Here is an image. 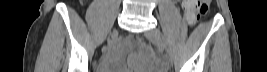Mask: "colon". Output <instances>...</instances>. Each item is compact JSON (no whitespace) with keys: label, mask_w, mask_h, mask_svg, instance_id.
<instances>
[{"label":"colon","mask_w":267,"mask_h":72,"mask_svg":"<svg viewBox=\"0 0 267 72\" xmlns=\"http://www.w3.org/2000/svg\"><path fill=\"white\" fill-rule=\"evenodd\" d=\"M211 0H197L195 1V14L196 15H205L209 11Z\"/></svg>","instance_id":"1"}]
</instances>
